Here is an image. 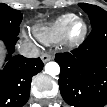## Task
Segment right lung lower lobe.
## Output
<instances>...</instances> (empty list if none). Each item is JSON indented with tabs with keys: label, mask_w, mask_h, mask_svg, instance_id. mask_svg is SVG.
<instances>
[{
	"label": "right lung lower lobe",
	"mask_w": 107,
	"mask_h": 107,
	"mask_svg": "<svg viewBox=\"0 0 107 107\" xmlns=\"http://www.w3.org/2000/svg\"><path fill=\"white\" fill-rule=\"evenodd\" d=\"M0 38L8 48L7 63L0 71V107H21L29 99L32 77L44 64L40 58L12 56L17 35L4 34Z\"/></svg>",
	"instance_id": "98d812e1"
}]
</instances>
